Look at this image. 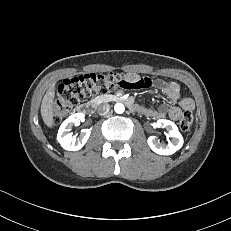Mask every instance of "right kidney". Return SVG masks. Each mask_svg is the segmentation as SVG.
Masks as SVG:
<instances>
[{
	"label": "right kidney",
	"mask_w": 231,
	"mask_h": 231,
	"mask_svg": "<svg viewBox=\"0 0 231 231\" xmlns=\"http://www.w3.org/2000/svg\"><path fill=\"white\" fill-rule=\"evenodd\" d=\"M84 119L83 113H76L69 116L60 126L57 140L63 149L68 151L80 150L89 139L91 130L83 129L77 138L71 131L73 125L79 124Z\"/></svg>",
	"instance_id": "right-kidney-1"
}]
</instances>
